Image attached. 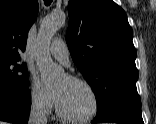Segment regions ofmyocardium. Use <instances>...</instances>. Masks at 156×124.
<instances>
[{
  "mask_svg": "<svg viewBox=\"0 0 156 124\" xmlns=\"http://www.w3.org/2000/svg\"><path fill=\"white\" fill-rule=\"evenodd\" d=\"M66 78L72 82L79 83V84L85 86L89 90V92L91 93L92 98H93V108L88 114H86L84 116L70 115L66 111L63 110V108L61 107V105L58 101V98L54 92V102H55V108H56V112H57L58 116L60 118H62L63 120H66L69 122L81 123V122H87V121L92 120L94 117L97 116V114L100 111V107H101V100H100L98 92L96 91L94 86L89 81H87L81 77L74 76V75H66Z\"/></svg>",
  "mask_w": 156,
  "mask_h": 124,
  "instance_id": "1",
  "label": "myocardium"
}]
</instances>
